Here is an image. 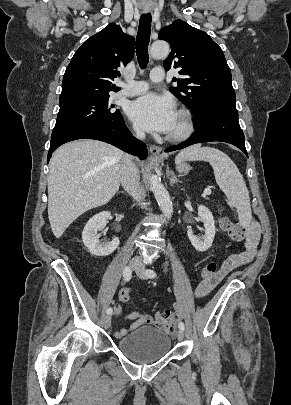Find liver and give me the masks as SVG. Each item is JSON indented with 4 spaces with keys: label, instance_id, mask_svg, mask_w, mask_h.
I'll use <instances>...</instances> for the list:
<instances>
[{
    "label": "liver",
    "instance_id": "1",
    "mask_svg": "<svg viewBox=\"0 0 291 405\" xmlns=\"http://www.w3.org/2000/svg\"><path fill=\"white\" fill-rule=\"evenodd\" d=\"M125 155L110 144L90 139L60 146L50 160L48 218L60 238L86 211L105 205L120 186Z\"/></svg>",
    "mask_w": 291,
    "mask_h": 405
}]
</instances>
